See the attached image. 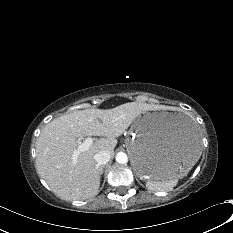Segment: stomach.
<instances>
[{"label": "stomach", "mask_w": 233, "mask_h": 233, "mask_svg": "<svg viewBox=\"0 0 233 233\" xmlns=\"http://www.w3.org/2000/svg\"><path fill=\"white\" fill-rule=\"evenodd\" d=\"M126 147L136 174L166 180L187 172L201 154L194 123L183 113L144 112L128 131Z\"/></svg>", "instance_id": "1"}]
</instances>
